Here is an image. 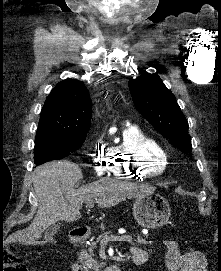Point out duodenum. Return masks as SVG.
Listing matches in <instances>:
<instances>
[{"label": "duodenum", "mask_w": 221, "mask_h": 271, "mask_svg": "<svg viewBox=\"0 0 221 271\" xmlns=\"http://www.w3.org/2000/svg\"><path fill=\"white\" fill-rule=\"evenodd\" d=\"M90 237V231L88 230H83V229H78L74 230L71 233V242L73 244L79 245L83 244L88 241ZM133 262L136 264H142L146 261L145 256H137V257H131ZM72 271H87L82 265L78 263H73L72 264ZM103 271H121L119 266L114 264L106 267L103 269Z\"/></svg>", "instance_id": "1"}]
</instances>
